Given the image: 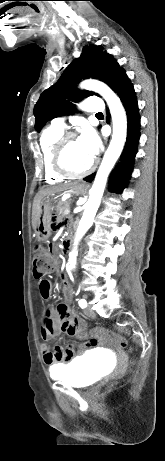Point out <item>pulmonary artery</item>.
Listing matches in <instances>:
<instances>
[{
  "label": "pulmonary artery",
  "instance_id": "obj_1",
  "mask_svg": "<svg viewBox=\"0 0 165 461\" xmlns=\"http://www.w3.org/2000/svg\"><path fill=\"white\" fill-rule=\"evenodd\" d=\"M82 108L91 113L102 112L104 109L103 103L99 97H89L82 103ZM52 125L60 129L65 127L64 117H57L53 119Z\"/></svg>",
  "mask_w": 165,
  "mask_h": 461
}]
</instances>
